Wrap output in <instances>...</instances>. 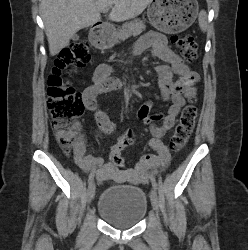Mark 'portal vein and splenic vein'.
Returning a JSON list of instances; mask_svg holds the SVG:
<instances>
[{"label": "portal vein and splenic vein", "instance_id": "18ae733b", "mask_svg": "<svg viewBox=\"0 0 248 250\" xmlns=\"http://www.w3.org/2000/svg\"><path fill=\"white\" fill-rule=\"evenodd\" d=\"M108 11H109V8H105V9H103L101 12H102V13H108Z\"/></svg>", "mask_w": 248, "mask_h": 250}]
</instances>
